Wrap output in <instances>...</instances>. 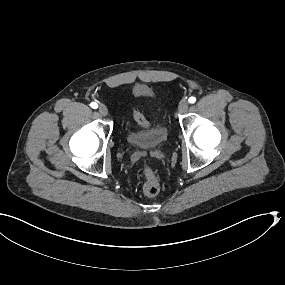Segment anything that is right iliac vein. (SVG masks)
I'll list each match as a JSON object with an SVG mask.
<instances>
[{"instance_id":"1","label":"right iliac vein","mask_w":285,"mask_h":285,"mask_svg":"<svg viewBox=\"0 0 285 285\" xmlns=\"http://www.w3.org/2000/svg\"><path fill=\"white\" fill-rule=\"evenodd\" d=\"M98 111L102 116H106L108 114V109L105 105H100Z\"/></svg>"}]
</instances>
